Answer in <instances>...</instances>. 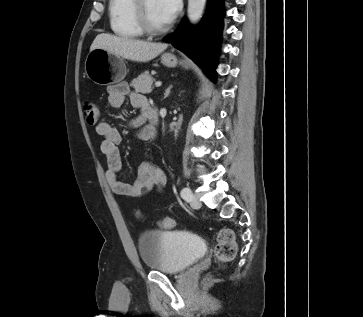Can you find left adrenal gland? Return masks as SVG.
I'll use <instances>...</instances> for the list:
<instances>
[{
  "label": "left adrenal gland",
  "instance_id": "left-adrenal-gland-1",
  "mask_svg": "<svg viewBox=\"0 0 363 317\" xmlns=\"http://www.w3.org/2000/svg\"><path fill=\"white\" fill-rule=\"evenodd\" d=\"M172 88V85H170L166 90H165V93H164V99L167 98L169 95H170V90Z\"/></svg>",
  "mask_w": 363,
  "mask_h": 317
}]
</instances>
